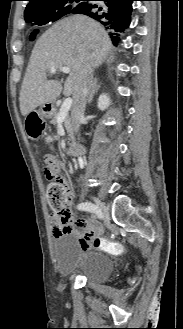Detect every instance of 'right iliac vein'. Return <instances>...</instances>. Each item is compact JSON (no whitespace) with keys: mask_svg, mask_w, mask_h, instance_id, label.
<instances>
[{"mask_svg":"<svg viewBox=\"0 0 183 329\" xmlns=\"http://www.w3.org/2000/svg\"><path fill=\"white\" fill-rule=\"evenodd\" d=\"M91 199L94 201L96 207L100 210L103 219L105 220V223H109V212L108 209L96 198L91 197Z\"/></svg>","mask_w":183,"mask_h":329,"instance_id":"right-iliac-vein-1","label":"right iliac vein"}]
</instances>
